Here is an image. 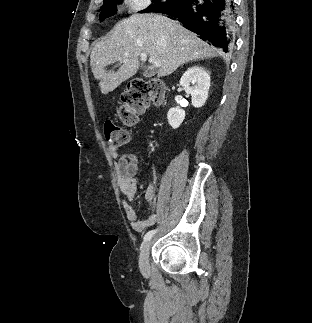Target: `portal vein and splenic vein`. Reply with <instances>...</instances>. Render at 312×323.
Listing matches in <instances>:
<instances>
[{
    "label": "portal vein and splenic vein",
    "instance_id": "obj_1",
    "mask_svg": "<svg viewBox=\"0 0 312 323\" xmlns=\"http://www.w3.org/2000/svg\"><path fill=\"white\" fill-rule=\"evenodd\" d=\"M140 58H142V60H147V54H140ZM120 62H122V60H120ZM154 68H158V66H161V62H152Z\"/></svg>",
    "mask_w": 312,
    "mask_h": 323
}]
</instances>
